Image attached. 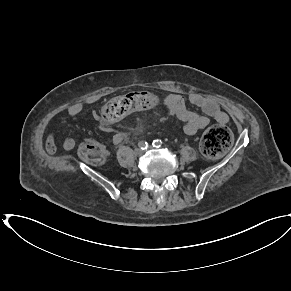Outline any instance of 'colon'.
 Listing matches in <instances>:
<instances>
[{
  "instance_id": "obj_1",
  "label": "colon",
  "mask_w": 291,
  "mask_h": 291,
  "mask_svg": "<svg viewBox=\"0 0 291 291\" xmlns=\"http://www.w3.org/2000/svg\"><path fill=\"white\" fill-rule=\"evenodd\" d=\"M159 99L147 91H134L110 100L101 111V122L111 124L136 112L156 107ZM233 141L230 130L221 124L209 127L201 139L202 152L215 158L229 149ZM80 156L93 165H101L105 161V150L99 144L85 142L80 146Z\"/></svg>"
}]
</instances>
